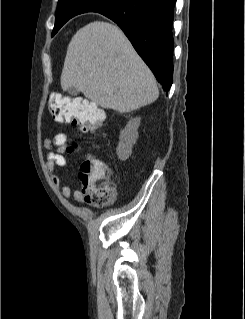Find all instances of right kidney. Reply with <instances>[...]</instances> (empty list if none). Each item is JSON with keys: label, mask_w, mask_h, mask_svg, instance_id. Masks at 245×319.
Instances as JSON below:
<instances>
[{"label": "right kidney", "mask_w": 245, "mask_h": 319, "mask_svg": "<svg viewBox=\"0 0 245 319\" xmlns=\"http://www.w3.org/2000/svg\"><path fill=\"white\" fill-rule=\"evenodd\" d=\"M140 117L131 119L126 127L121 131L119 144L117 146V156L120 160H126L132 154V147L138 138V127Z\"/></svg>", "instance_id": "right-kidney-1"}]
</instances>
